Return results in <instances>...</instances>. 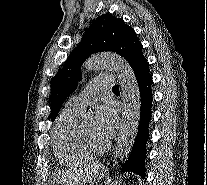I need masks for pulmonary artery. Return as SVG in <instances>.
<instances>
[{
  "label": "pulmonary artery",
  "mask_w": 207,
  "mask_h": 185,
  "mask_svg": "<svg viewBox=\"0 0 207 185\" xmlns=\"http://www.w3.org/2000/svg\"><path fill=\"white\" fill-rule=\"evenodd\" d=\"M115 82H118V77H96V81L88 82L89 86H83V91L89 92H83L70 99L66 104V110L82 113L94 92L113 91Z\"/></svg>",
  "instance_id": "pulmonary-artery-1"
}]
</instances>
